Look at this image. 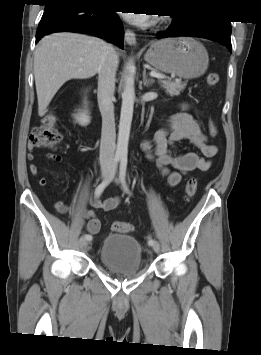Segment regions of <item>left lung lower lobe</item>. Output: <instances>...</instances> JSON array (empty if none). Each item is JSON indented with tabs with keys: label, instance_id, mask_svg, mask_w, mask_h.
<instances>
[{
	"label": "left lung lower lobe",
	"instance_id": "1",
	"mask_svg": "<svg viewBox=\"0 0 261 355\" xmlns=\"http://www.w3.org/2000/svg\"><path fill=\"white\" fill-rule=\"evenodd\" d=\"M174 18L169 30L163 33H157V38H168L172 36L201 37L222 43L230 52L232 51L230 40L231 24L229 20L181 16H174Z\"/></svg>",
	"mask_w": 261,
	"mask_h": 355
}]
</instances>
